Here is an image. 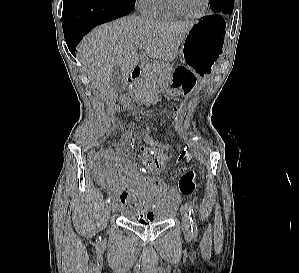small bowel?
I'll return each mask as SVG.
<instances>
[{"mask_svg":"<svg viewBox=\"0 0 299 273\" xmlns=\"http://www.w3.org/2000/svg\"><path fill=\"white\" fill-rule=\"evenodd\" d=\"M134 146V134L125 135L123 147L117 150L127 155ZM149 170L163 169L171 158L167 149L141 147ZM107 175L99 182L116 194L126 210L137 212L143 219H150L157 209L173 210L180 202L179 194L169 189L166 182L157 176L141 174L136 164H121L116 151L109 149L104 154ZM181 166L178 172H184Z\"/></svg>","mask_w":299,"mask_h":273,"instance_id":"small-bowel-1","label":"small bowel"}]
</instances>
